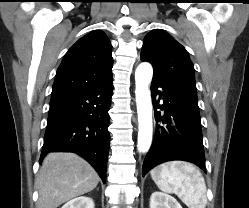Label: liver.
I'll return each instance as SVG.
<instances>
[{
    "label": "liver",
    "mask_w": 249,
    "mask_h": 208,
    "mask_svg": "<svg viewBox=\"0 0 249 208\" xmlns=\"http://www.w3.org/2000/svg\"><path fill=\"white\" fill-rule=\"evenodd\" d=\"M99 176L94 168L74 153H49L43 160L36 187L37 208H57L62 203L95 189Z\"/></svg>",
    "instance_id": "obj_1"
}]
</instances>
